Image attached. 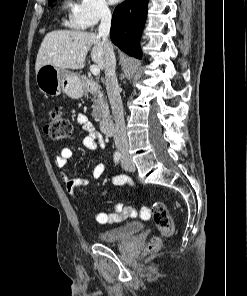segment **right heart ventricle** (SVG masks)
Returning a JSON list of instances; mask_svg holds the SVG:
<instances>
[{
  "mask_svg": "<svg viewBox=\"0 0 247 296\" xmlns=\"http://www.w3.org/2000/svg\"><path fill=\"white\" fill-rule=\"evenodd\" d=\"M70 6H72V2H71L70 0H66V1L64 2V8H69ZM70 22H71V21H70ZM71 24L74 25V26H76V25L73 24L72 22H71Z\"/></svg>",
  "mask_w": 247,
  "mask_h": 296,
  "instance_id": "1",
  "label": "right heart ventricle"
}]
</instances>
